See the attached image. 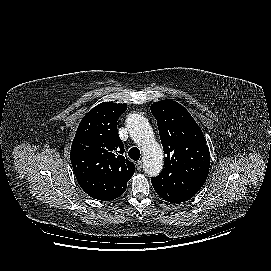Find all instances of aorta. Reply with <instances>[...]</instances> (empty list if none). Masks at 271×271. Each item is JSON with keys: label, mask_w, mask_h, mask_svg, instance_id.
I'll return each mask as SVG.
<instances>
[{"label": "aorta", "mask_w": 271, "mask_h": 271, "mask_svg": "<svg viewBox=\"0 0 271 271\" xmlns=\"http://www.w3.org/2000/svg\"><path fill=\"white\" fill-rule=\"evenodd\" d=\"M130 137L142 149L143 170L151 177L157 176L163 168V150L155 140L148 120L138 113H131L126 119Z\"/></svg>", "instance_id": "762f6f07"}]
</instances>
